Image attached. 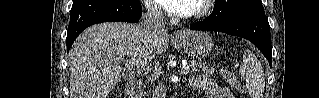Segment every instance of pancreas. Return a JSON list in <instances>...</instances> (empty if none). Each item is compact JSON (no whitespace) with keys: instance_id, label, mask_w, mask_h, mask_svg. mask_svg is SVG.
<instances>
[{"instance_id":"cf45deb5","label":"pancreas","mask_w":319,"mask_h":98,"mask_svg":"<svg viewBox=\"0 0 319 98\" xmlns=\"http://www.w3.org/2000/svg\"><path fill=\"white\" fill-rule=\"evenodd\" d=\"M191 68H192L193 72L204 74L206 77H209L210 75H213L214 72H215V68L214 67H210V66L206 65L202 61L193 60L191 62Z\"/></svg>"}]
</instances>
